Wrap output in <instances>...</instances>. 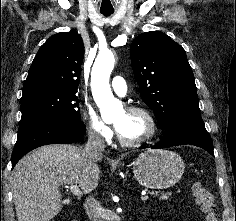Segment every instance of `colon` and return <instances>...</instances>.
<instances>
[{
	"instance_id": "1",
	"label": "colon",
	"mask_w": 236,
	"mask_h": 221,
	"mask_svg": "<svg viewBox=\"0 0 236 221\" xmlns=\"http://www.w3.org/2000/svg\"><path fill=\"white\" fill-rule=\"evenodd\" d=\"M192 194L201 208L204 221H219L216 211L214 197L211 192L200 183H193L191 186Z\"/></svg>"
}]
</instances>
